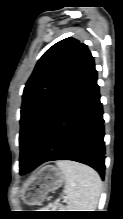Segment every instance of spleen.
<instances>
[{
    "mask_svg": "<svg viewBox=\"0 0 123 219\" xmlns=\"http://www.w3.org/2000/svg\"><path fill=\"white\" fill-rule=\"evenodd\" d=\"M57 166L65 177L67 208L71 211H94L102 189L99 174L89 166L69 160L58 161ZM52 207L49 204L47 208Z\"/></svg>",
    "mask_w": 123,
    "mask_h": 219,
    "instance_id": "spleen-1",
    "label": "spleen"
}]
</instances>
